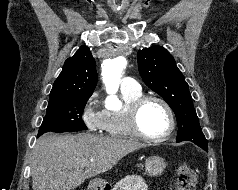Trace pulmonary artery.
Returning a JSON list of instances; mask_svg holds the SVG:
<instances>
[{"label":"pulmonary artery","mask_w":238,"mask_h":190,"mask_svg":"<svg viewBox=\"0 0 238 190\" xmlns=\"http://www.w3.org/2000/svg\"><path fill=\"white\" fill-rule=\"evenodd\" d=\"M141 87L139 83L131 77H125L121 81V90L125 91H138Z\"/></svg>","instance_id":"obj_1"}]
</instances>
